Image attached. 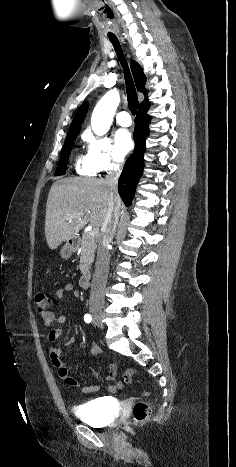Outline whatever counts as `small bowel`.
I'll use <instances>...</instances> for the list:
<instances>
[{
	"label": "small bowel",
	"mask_w": 236,
	"mask_h": 467,
	"mask_svg": "<svg viewBox=\"0 0 236 467\" xmlns=\"http://www.w3.org/2000/svg\"><path fill=\"white\" fill-rule=\"evenodd\" d=\"M74 291H75V287L71 283L66 284L63 288L58 289L56 292V297L61 302L64 303L65 305L64 308L61 309L58 313H41V319L44 325L50 328L47 334V339L50 343L55 342L62 335V329L60 328V326H63L67 320V317L65 314V311L67 309L66 294L73 293ZM74 342H75V337L71 336L67 339L65 345L70 346ZM91 353L93 355H99L100 354L99 347L93 346L91 348ZM49 355H50V359H51L53 366L57 368L58 376L66 384L79 387L80 386L79 381L70 374L67 366L62 362L60 350L56 347H51L49 351ZM108 369H109L108 378L115 379L116 374H117L116 364L114 362H109ZM119 387H120L119 384H112L108 387V391L110 393H115L119 389ZM99 388H100L99 385L84 386L82 387V392L86 394L94 393V392H97Z\"/></svg>",
	"instance_id": "small-bowel-1"
}]
</instances>
